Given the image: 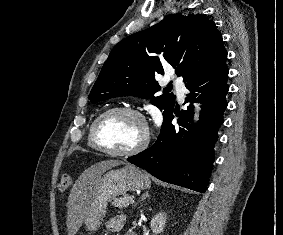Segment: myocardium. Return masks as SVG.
<instances>
[{
    "label": "myocardium",
    "mask_w": 283,
    "mask_h": 235,
    "mask_svg": "<svg viewBox=\"0 0 283 235\" xmlns=\"http://www.w3.org/2000/svg\"><path fill=\"white\" fill-rule=\"evenodd\" d=\"M117 113H128V114H132L136 116L141 121L143 128H144V133L139 143L129 150L117 151V150L108 149L101 144L98 138V128L101 122L105 118L113 114H117ZM90 136H91V142L94 148H96L97 150H99L100 152L106 155L113 156V157H130V156L137 155L141 153L142 151H144L150 142V130H149V126H148L145 116L138 109L133 108V107H128V106L113 107V108H109L103 111L93 121L92 126H91Z\"/></svg>",
    "instance_id": "1"
}]
</instances>
